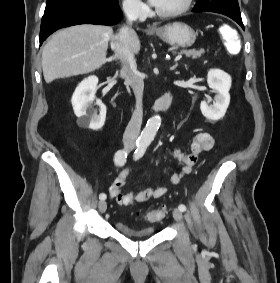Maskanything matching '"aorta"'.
Wrapping results in <instances>:
<instances>
[{
    "label": "aorta",
    "instance_id": "762f6f07",
    "mask_svg": "<svg viewBox=\"0 0 280 283\" xmlns=\"http://www.w3.org/2000/svg\"><path fill=\"white\" fill-rule=\"evenodd\" d=\"M161 125V117L159 115H154L151 117L147 124L142 131L141 137H140V143L143 144H149L153 141L159 127Z\"/></svg>",
    "mask_w": 280,
    "mask_h": 283
}]
</instances>
